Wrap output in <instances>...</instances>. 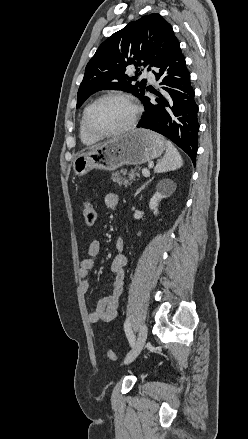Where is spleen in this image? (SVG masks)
Listing matches in <instances>:
<instances>
[{
	"mask_svg": "<svg viewBox=\"0 0 248 439\" xmlns=\"http://www.w3.org/2000/svg\"><path fill=\"white\" fill-rule=\"evenodd\" d=\"M182 165L183 160L181 158V155L179 154L175 146L170 141H168L166 153L164 157L160 161H158L155 167V172L163 173L168 171H174L182 167Z\"/></svg>",
	"mask_w": 248,
	"mask_h": 439,
	"instance_id": "1",
	"label": "spleen"
}]
</instances>
